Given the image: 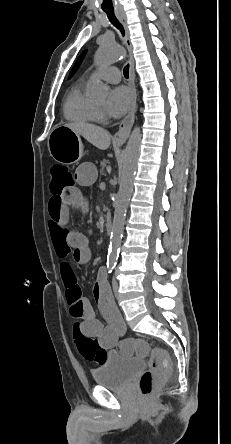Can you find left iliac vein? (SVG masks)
I'll return each instance as SVG.
<instances>
[{"instance_id": "left-iliac-vein-1", "label": "left iliac vein", "mask_w": 231, "mask_h": 444, "mask_svg": "<svg viewBox=\"0 0 231 444\" xmlns=\"http://www.w3.org/2000/svg\"><path fill=\"white\" fill-rule=\"evenodd\" d=\"M113 292L115 295H118V283L116 280H113L112 282Z\"/></svg>"}]
</instances>
